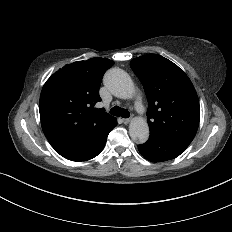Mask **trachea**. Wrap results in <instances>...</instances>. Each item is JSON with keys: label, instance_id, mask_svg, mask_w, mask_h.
Instances as JSON below:
<instances>
[{"label": "trachea", "instance_id": "obj_1", "mask_svg": "<svg viewBox=\"0 0 232 232\" xmlns=\"http://www.w3.org/2000/svg\"><path fill=\"white\" fill-rule=\"evenodd\" d=\"M110 113L115 116H121L123 118H129L130 113L127 109H121L119 106H115L110 110Z\"/></svg>", "mask_w": 232, "mask_h": 232}]
</instances>
